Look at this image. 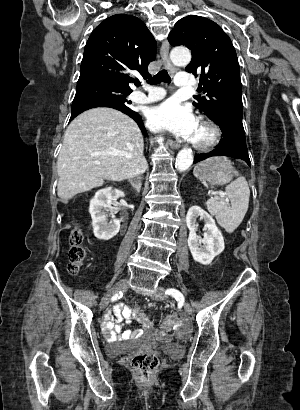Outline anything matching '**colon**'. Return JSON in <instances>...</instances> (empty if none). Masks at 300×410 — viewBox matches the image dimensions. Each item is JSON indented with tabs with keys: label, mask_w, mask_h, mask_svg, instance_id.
<instances>
[{
	"label": "colon",
	"mask_w": 300,
	"mask_h": 410,
	"mask_svg": "<svg viewBox=\"0 0 300 410\" xmlns=\"http://www.w3.org/2000/svg\"><path fill=\"white\" fill-rule=\"evenodd\" d=\"M85 236L78 228L74 229L70 235L69 265L68 271L75 275L79 272L86 260ZM178 316L170 314L167 324L172 325L177 322ZM159 364L158 356L151 352H141L134 354L131 359L133 369L142 377L149 378Z\"/></svg>",
	"instance_id": "colon-1"
}]
</instances>
